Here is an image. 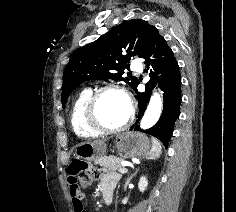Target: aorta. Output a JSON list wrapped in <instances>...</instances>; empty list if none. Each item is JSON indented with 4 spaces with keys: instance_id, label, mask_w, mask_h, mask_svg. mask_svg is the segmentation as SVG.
<instances>
[{
    "instance_id": "1",
    "label": "aorta",
    "mask_w": 236,
    "mask_h": 212,
    "mask_svg": "<svg viewBox=\"0 0 236 212\" xmlns=\"http://www.w3.org/2000/svg\"><path fill=\"white\" fill-rule=\"evenodd\" d=\"M162 113V100L159 94L154 93L150 99L146 112L141 120L142 129H148L154 126Z\"/></svg>"
}]
</instances>
